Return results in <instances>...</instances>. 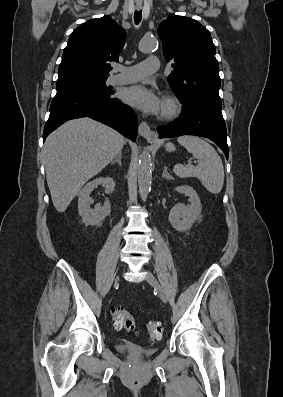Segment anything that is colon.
Instances as JSON below:
<instances>
[{"label": "colon", "mask_w": 283, "mask_h": 397, "mask_svg": "<svg viewBox=\"0 0 283 397\" xmlns=\"http://www.w3.org/2000/svg\"><path fill=\"white\" fill-rule=\"evenodd\" d=\"M113 322L117 329H124L127 333L135 331L134 316L124 307L117 306L113 309ZM162 330V324L158 321H150L146 325L147 335L152 340L160 338Z\"/></svg>", "instance_id": "1"}]
</instances>
